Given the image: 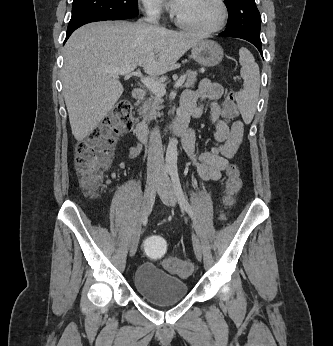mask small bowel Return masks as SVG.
Listing matches in <instances>:
<instances>
[{"label":"small bowel","instance_id":"small-bowel-1","mask_svg":"<svg viewBox=\"0 0 333 346\" xmlns=\"http://www.w3.org/2000/svg\"><path fill=\"white\" fill-rule=\"evenodd\" d=\"M223 88L218 83H213L203 78L198 88L187 90L182 95L180 117L190 119L199 118L204 111V105L209 103L210 119L215 128L214 139L217 145L210 151L203 152L195 159L196 134L190 129V134L183 138L182 146L185 154L193 161L198 176L206 182H216L222 177L223 172L229 165V159L239 150L243 141L244 126L240 120L228 124L223 118V110L219 105V99ZM141 151L139 145L129 150V158H136Z\"/></svg>","mask_w":333,"mask_h":346}]
</instances>
